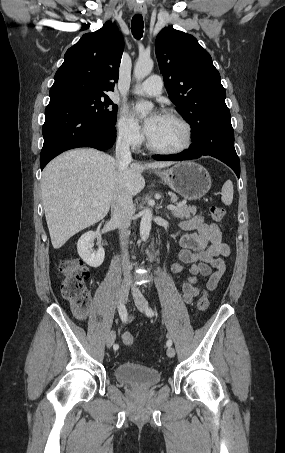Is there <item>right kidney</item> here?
Listing matches in <instances>:
<instances>
[{
	"label": "right kidney",
	"mask_w": 285,
	"mask_h": 453,
	"mask_svg": "<svg viewBox=\"0 0 285 453\" xmlns=\"http://www.w3.org/2000/svg\"><path fill=\"white\" fill-rule=\"evenodd\" d=\"M97 238L98 243H101V237L93 231L83 234L77 243V251L79 256L86 262L87 265L93 268L99 267L105 258V251L99 245L97 252H93L92 247L94 240Z\"/></svg>",
	"instance_id": "1"
}]
</instances>
